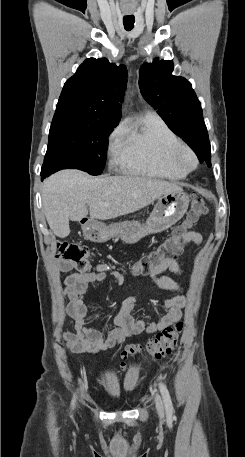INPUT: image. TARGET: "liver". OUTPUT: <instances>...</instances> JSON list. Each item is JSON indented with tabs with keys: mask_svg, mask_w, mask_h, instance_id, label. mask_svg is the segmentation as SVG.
<instances>
[{
	"mask_svg": "<svg viewBox=\"0 0 245 457\" xmlns=\"http://www.w3.org/2000/svg\"><path fill=\"white\" fill-rule=\"evenodd\" d=\"M177 182L146 176H89L82 170H58L45 178L42 188L43 210L56 237L70 233L69 220L116 218L147 206L162 194L181 192ZM108 202V204H104Z\"/></svg>",
	"mask_w": 245,
	"mask_h": 457,
	"instance_id": "liver-1",
	"label": "liver"
}]
</instances>
